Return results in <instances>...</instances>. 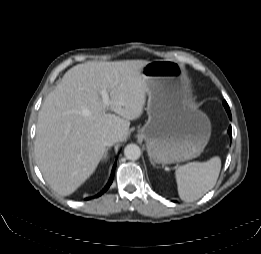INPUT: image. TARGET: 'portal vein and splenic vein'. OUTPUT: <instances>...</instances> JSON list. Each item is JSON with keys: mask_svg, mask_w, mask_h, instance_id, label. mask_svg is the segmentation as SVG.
<instances>
[{"mask_svg": "<svg viewBox=\"0 0 261 254\" xmlns=\"http://www.w3.org/2000/svg\"><path fill=\"white\" fill-rule=\"evenodd\" d=\"M100 95L102 97V100H103V104L104 106H108L109 105V96H108V93L105 89H103L101 92H100Z\"/></svg>", "mask_w": 261, "mask_h": 254, "instance_id": "portal-vein-and-splenic-vein-1", "label": "portal vein and splenic vein"}]
</instances>
